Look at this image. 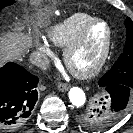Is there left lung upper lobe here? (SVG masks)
I'll use <instances>...</instances> for the list:
<instances>
[{
  "label": "left lung upper lobe",
  "mask_w": 133,
  "mask_h": 133,
  "mask_svg": "<svg viewBox=\"0 0 133 133\" xmlns=\"http://www.w3.org/2000/svg\"><path fill=\"white\" fill-rule=\"evenodd\" d=\"M125 27L126 43L123 53L112 68L99 80L100 86L119 84L133 89V21L129 17L126 18ZM100 100L96 109L84 110L78 114L77 122L84 129L101 131L113 125L117 118L124 115L119 116L117 113L106 111L101 117H98V110L106 108L105 99L101 98Z\"/></svg>",
  "instance_id": "left-lung-upper-lobe-1"
}]
</instances>
